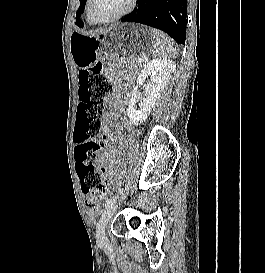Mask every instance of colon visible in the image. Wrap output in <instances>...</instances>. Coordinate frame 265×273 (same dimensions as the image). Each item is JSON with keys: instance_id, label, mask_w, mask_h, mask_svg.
Listing matches in <instances>:
<instances>
[{"instance_id": "5ec220e1", "label": "colon", "mask_w": 265, "mask_h": 273, "mask_svg": "<svg viewBox=\"0 0 265 273\" xmlns=\"http://www.w3.org/2000/svg\"><path fill=\"white\" fill-rule=\"evenodd\" d=\"M101 69V64L97 63L79 71L80 104L72 135L78 143L74 150L75 169L82 191L88 195L89 208L96 207L98 201L106 195L103 175L95 163L97 154L106 147V141L97 136L102 130V121L106 115L104 101L112 86Z\"/></svg>"}]
</instances>
